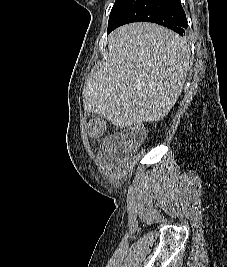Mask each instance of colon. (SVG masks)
Segmentation results:
<instances>
[{"label": "colon", "instance_id": "1", "mask_svg": "<svg viewBox=\"0 0 227 267\" xmlns=\"http://www.w3.org/2000/svg\"><path fill=\"white\" fill-rule=\"evenodd\" d=\"M86 132L91 138H101L106 132V124L101 118H93L86 125ZM146 138L144 128H132L122 137L121 141L127 148L133 149L141 145Z\"/></svg>", "mask_w": 227, "mask_h": 267}]
</instances>
